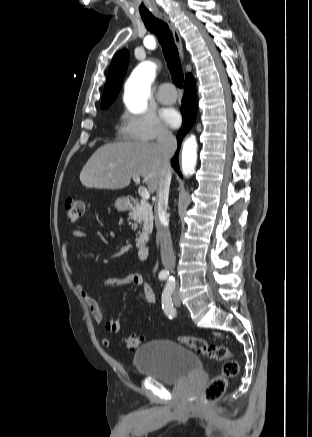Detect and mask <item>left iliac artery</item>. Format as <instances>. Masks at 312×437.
<instances>
[{
    "label": "left iliac artery",
    "instance_id": "left-iliac-artery-1",
    "mask_svg": "<svg viewBox=\"0 0 312 437\" xmlns=\"http://www.w3.org/2000/svg\"><path fill=\"white\" fill-rule=\"evenodd\" d=\"M175 289V280L171 277L168 279L167 284L162 293V308L165 314L172 318L175 316V309L173 308L171 295Z\"/></svg>",
    "mask_w": 312,
    "mask_h": 437
}]
</instances>
